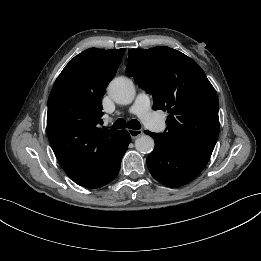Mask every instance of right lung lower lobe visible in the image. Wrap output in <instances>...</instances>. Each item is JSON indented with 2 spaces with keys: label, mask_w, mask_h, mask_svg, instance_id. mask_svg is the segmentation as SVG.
I'll use <instances>...</instances> for the list:
<instances>
[{
  "label": "right lung lower lobe",
  "mask_w": 261,
  "mask_h": 261,
  "mask_svg": "<svg viewBox=\"0 0 261 261\" xmlns=\"http://www.w3.org/2000/svg\"><path fill=\"white\" fill-rule=\"evenodd\" d=\"M129 142L130 135L126 130H123V134L106 165L95 176L80 183L79 185L86 188L95 189L113 181L120 170L121 160L128 148Z\"/></svg>",
  "instance_id": "1"
}]
</instances>
